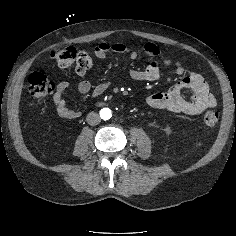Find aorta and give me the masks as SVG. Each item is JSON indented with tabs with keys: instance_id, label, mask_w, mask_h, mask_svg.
Wrapping results in <instances>:
<instances>
[{
	"instance_id": "aorta-1",
	"label": "aorta",
	"mask_w": 236,
	"mask_h": 236,
	"mask_svg": "<svg viewBox=\"0 0 236 236\" xmlns=\"http://www.w3.org/2000/svg\"><path fill=\"white\" fill-rule=\"evenodd\" d=\"M100 115H101L102 119L107 120V119H109L112 116L111 115V110L109 108H103L100 111Z\"/></svg>"
}]
</instances>
